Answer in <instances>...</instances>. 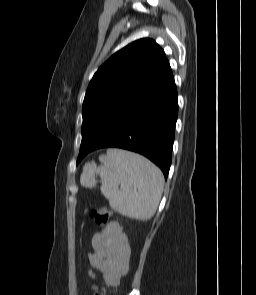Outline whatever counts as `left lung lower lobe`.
I'll use <instances>...</instances> for the list:
<instances>
[{
	"mask_svg": "<svg viewBox=\"0 0 256 295\" xmlns=\"http://www.w3.org/2000/svg\"><path fill=\"white\" fill-rule=\"evenodd\" d=\"M177 115V90L173 78L157 94L122 118L95 145L81 151L77 164L91 151L117 147L146 156L167 178Z\"/></svg>",
	"mask_w": 256,
	"mask_h": 295,
	"instance_id": "left-lung-lower-lobe-1",
	"label": "left lung lower lobe"
}]
</instances>
